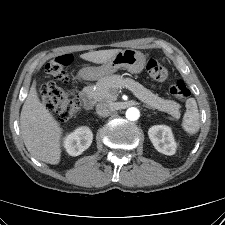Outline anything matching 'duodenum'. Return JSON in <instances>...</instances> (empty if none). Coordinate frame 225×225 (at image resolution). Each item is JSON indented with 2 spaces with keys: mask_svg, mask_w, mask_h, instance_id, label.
<instances>
[{
  "mask_svg": "<svg viewBox=\"0 0 225 225\" xmlns=\"http://www.w3.org/2000/svg\"><path fill=\"white\" fill-rule=\"evenodd\" d=\"M80 102H81V106H82L84 109H86V110L92 108L93 105H94V99H93V97H92L90 94H88V93H83V94L81 95V97H80Z\"/></svg>",
  "mask_w": 225,
  "mask_h": 225,
  "instance_id": "410a0bca",
  "label": "duodenum"
}]
</instances>
